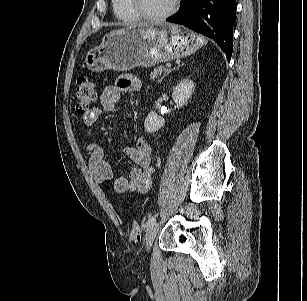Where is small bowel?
<instances>
[{"instance_id": "c3829d8e", "label": "small bowel", "mask_w": 307, "mask_h": 301, "mask_svg": "<svg viewBox=\"0 0 307 301\" xmlns=\"http://www.w3.org/2000/svg\"><path fill=\"white\" fill-rule=\"evenodd\" d=\"M141 81L133 75H124L115 85L103 88L100 95L101 107L89 110L83 115V122L87 128H92L98 121L102 111H113L120 100L121 93L138 92L141 90ZM89 154V170L96 181L112 183L116 193L147 192L152 184V145L145 138H138L135 146L124 149L126 156L136 164L128 177L115 176L111 163L107 160L104 148L93 138L87 144Z\"/></svg>"}]
</instances>
